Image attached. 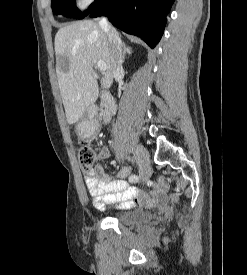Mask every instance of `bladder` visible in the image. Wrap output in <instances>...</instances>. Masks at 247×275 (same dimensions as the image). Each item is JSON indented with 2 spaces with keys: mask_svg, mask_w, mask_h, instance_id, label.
<instances>
[{
  "mask_svg": "<svg viewBox=\"0 0 247 275\" xmlns=\"http://www.w3.org/2000/svg\"><path fill=\"white\" fill-rule=\"evenodd\" d=\"M153 220V213L146 210H133L117 217V221L125 225H144Z\"/></svg>",
  "mask_w": 247,
  "mask_h": 275,
  "instance_id": "31cf9c89",
  "label": "bladder"
}]
</instances>
